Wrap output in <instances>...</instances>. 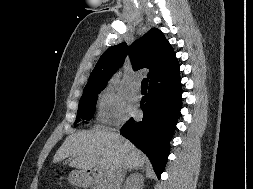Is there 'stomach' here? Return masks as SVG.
Masks as SVG:
<instances>
[{
  "label": "stomach",
  "mask_w": 253,
  "mask_h": 189,
  "mask_svg": "<svg viewBox=\"0 0 253 189\" xmlns=\"http://www.w3.org/2000/svg\"><path fill=\"white\" fill-rule=\"evenodd\" d=\"M69 181L73 185L82 186L88 184L90 181L89 175L86 171H72L69 175Z\"/></svg>",
  "instance_id": "obj_1"
}]
</instances>
